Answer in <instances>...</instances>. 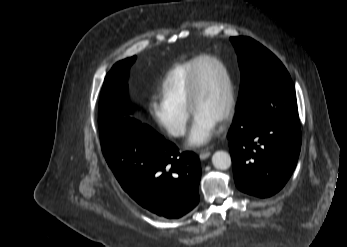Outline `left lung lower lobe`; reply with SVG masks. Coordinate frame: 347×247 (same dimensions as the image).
<instances>
[{"label":"left lung lower lobe","mask_w":347,"mask_h":247,"mask_svg":"<svg viewBox=\"0 0 347 247\" xmlns=\"http://www.w3.org/2000/svg\"><path fill=\"white\" fill-rule=\"evenodd\" d=\"M227 137L237 187L262 198L280 191L296 167L301 148L292 81L266 86L236 111Z\"/></svg>","instance_id":"0a47b994"}]
</instances>
